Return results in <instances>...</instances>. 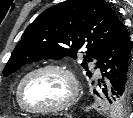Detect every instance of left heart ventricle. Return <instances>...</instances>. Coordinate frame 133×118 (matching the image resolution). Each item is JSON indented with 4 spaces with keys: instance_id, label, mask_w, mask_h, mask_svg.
<instances>
[{
    "instance_id": "obj_1",
    "label": "left heart ventricle",
    "mask_w": 133,
    "mask_h": 118,
    "mask_svg": "<svg viewBox=\"0 0 133 118\" xmlns=\"http://www.w3.org/2000/svg\"><path fill=\"white\" fill-rule=\"evenodd\" d=\"M70 93L66 76L57 71H42L32 75L23 88L25 103L32 108H43L62 103Z\"/></svg>"
}]
</instances>
